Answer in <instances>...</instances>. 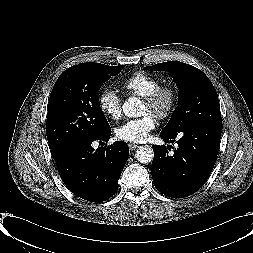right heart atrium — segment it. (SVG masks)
<instances>
[{
	"label": "right heart atrium",
	"instance_id": "obj_1",
	"mask_svg": "<svg viewBox=\"0 0 253 253\" xmlns=\"http://www.w3.org/2000/svg\"><path fill=\"white\" fill-rule=\"evenodd\" d=\"M99 107L101 111L112 119H118L122 113V99L119 94L108 88L104 90L98 99Z\"/></svg>",
	"mask_w": 253,
	"mask_h": 253
}]
</instances>
